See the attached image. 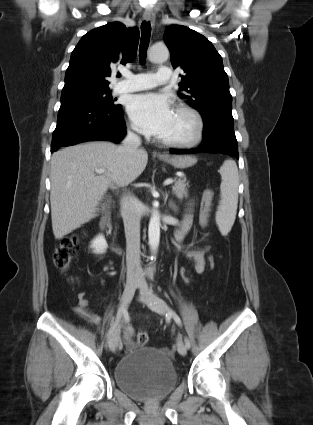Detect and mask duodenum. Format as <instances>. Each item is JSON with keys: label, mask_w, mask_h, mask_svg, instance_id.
Instances as JSON below:
<instances>
[{"label": "duodenum", "mask_w": 313, "mask_h": 425, "mask_svg": "<svg viewBox=\"0 0 313 425\" xmlns=\"http://www.w3.org/2000/svg\"><path fill=\"white\" fill-rule=\"evenodd\" d=\"M110 219H111V210H110V204H109L103 214L102 221H101V227L106 232L110 231Z\"/></svg>", "instance_id": "duodenum-1"}]
</instances>
